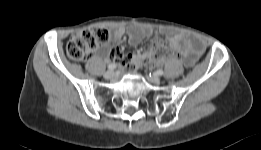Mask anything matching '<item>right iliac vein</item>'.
<instances>
[{
  "mask_svg": "<svg viewBox=\"0 0 261 150\" xmlns=\"http://www.w3.org/2000/svg\"><path fill=\"white\" fill-rule=\"evenodd\" d=\"M115 77V73L112 70H109L104 73V78L106 79H113Z\"/></svg>",
  "mask_w": 261,
  "mask_h": 150,
  "instance_id": "right-iliac-vein-1",
  "label": "right iliac vein"
}]
</instances>
